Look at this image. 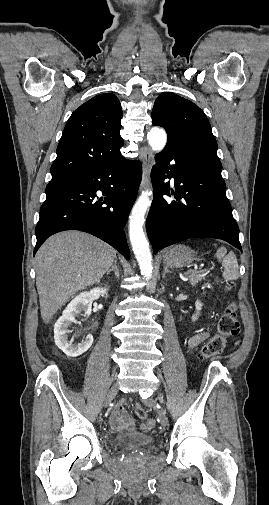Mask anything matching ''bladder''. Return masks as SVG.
<instances>
[{"label": "bladder", "instance_id": "obj_1", "mask_svg": "<svg viewBox=\"0 0 269 505\" xmlns=\"http://www.w3.org/2000/svg\"><path fill=\"white\" fill-rule=\"evenodd\" d=\"M111 442L119 449H145L155 444V438L151 435H120L114 437Z\"/></svg>", "mask_w": 269, "mask_h": 505}]
</instances>
